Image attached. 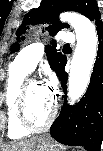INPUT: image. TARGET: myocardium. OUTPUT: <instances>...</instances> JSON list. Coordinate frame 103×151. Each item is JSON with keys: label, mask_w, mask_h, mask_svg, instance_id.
<instances>
[{"label": "myocardium", "mask_w": 103, "mask_h": 151, "mask_svg": "<svg viewBox=\"0 0 103 151\" xmlns=\"http://www.w3.org/2000/svg\"><path fill=\"white\" fill-rule=\"evenodd\" d=\"M32 82H35L40 85L39 82L32 80L22 84L17 100L16 116L18 123L25 130H28L30 132H41L47 130L54 122L58 111V103L55 99H53L50 115L44 124H33L28 116V88Z\"/></svg>", "instance_id": "myocardium-1"}]
</instances>
